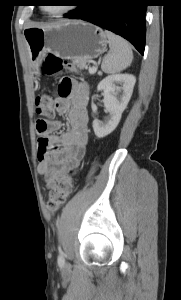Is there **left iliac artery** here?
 Instances as JSON below:
<instances>
[{"label": "left iliac artery", "instance_id": "44dca946", "mask_svg": "<svg viewBox=\"0 0 181 300\" xmlns=\"http://www.w3.org/2000/svg\"><path fill=\"white\" fill-rule=\"evenodd\" d=\"M64 256H63V253L60 251V254L58 256V264L62 265L64 264Z\"/></svg>", "mask_w": 181, "mask_h": 300}]
</instances>
